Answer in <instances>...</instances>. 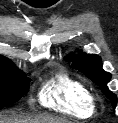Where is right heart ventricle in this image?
<instances>
[{
  "label": "right heart ventricle",
  "instance_id": "obj_1",
  "mask_svg": "<svg viewBox=\"0 0 118 123\" xmlns=\"http://www.w3.org/2000/svg\"><path fill=\"white\" fill-rule=\"evenodd\" d=\"M91 97L83 81L65 72H57L45 80L39 93L44 107L79 119L94 115Z\"/></svg>",
  "mask_w": 118,
  "mask_h": 123
}]
</instances>
